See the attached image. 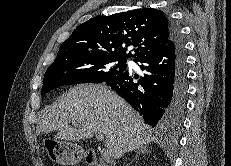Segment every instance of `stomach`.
<instances>
[{
    "instance_id": "stomach-1",
    "label": "stomach",
    "mask_w": 231,
    "mask_h": 166,
    "mask_svg": "<svg viewBox=\"0 0 231 166\" xmlns=\"http://www.w3.org/2000/svg\"><path fill=\"white\" fill-rule=\"evenodd\" d=\"M46 150L52 161L62 165H75L84 158V150L70 141L51 140Z\"/></svg>"
}]
</instances>
